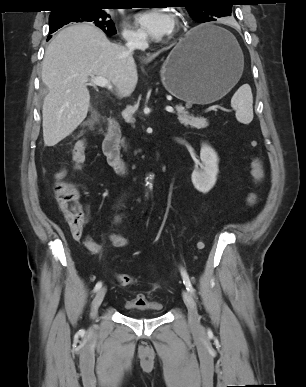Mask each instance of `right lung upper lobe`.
<instances>
[{
	"instance_id": "right-lung-upper-lobe-1",
	"label": "right lung upper lobe",
	"mask_w": 306,
	"mask_h": 387,
	"mask_svg": "<svg viewBox=\"0 0 306 387\" xmlns=\"http://www.w3.org/2000/svg\"><path fill=\"white\" fill-rule=\"evenodd\" d=\"M56 1V9L52 12L58 11L60 8L71 7V6H109L111 0H55Z\"/></svg>"
}]
</instances>
